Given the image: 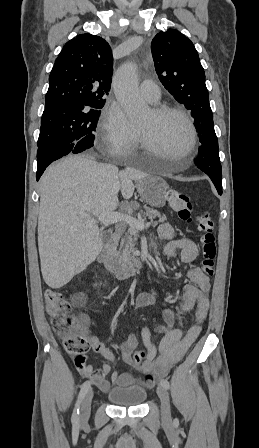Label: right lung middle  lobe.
Returning <instances> with one entry per match:
<instances>
[{"mask_svg":"<svg viewBox=\"0 0 259 448\" xmlns=\"http://www.w3.org/2000/svg\"><path fill=\"white\" fill-rule=\"evenodd\" d=\"M103 106L65 114H43L37 146L74 143L75 154L90 149L94 146V131Z\"/></svg>","mask_w":259,"mask_h":448,"instance_id":"1","label":"right lung middle lobe"}]
</instances>
